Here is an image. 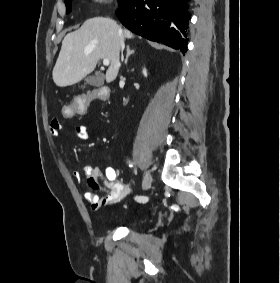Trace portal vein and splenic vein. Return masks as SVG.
I'll list each match as a JSON object with an SVG mask.
<instances>
[{
    "instance_id": "portal-vein-and-splenic-vein-1",
    "label": "portal vein and splenic vein",
    "mask_w": 280,
    "mask_h": 283,
    "mask_svg": "<svg viewBox=\"0 0 280 283\" xmlns=\"http://www.w3.org/2000/svg\"><path fill=\"white\" fill-rule=\"evenodd\" d=\"M109 63H110L109 59H103V64H104L105 66H108Z\"/></svg>"
}]
</instances>
